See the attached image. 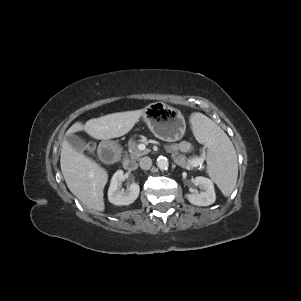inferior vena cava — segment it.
Segmentation results:
<instances>
[{"instance_id": "602c4592", "label": "inferior vena cava", "mask_w": 301, "mask_h": 301, "mask_svg": "<svg viewBox=\"0 0 301 301\" xmlns=\"http://www.w3.org/2000/svg\"><path fill=\"white\" fill-rule=\"evenodd\" d=\"M140 168L143 170H148L152 166V160L150 157H143L139 161Z\"/></svg>"}]
</instances>
